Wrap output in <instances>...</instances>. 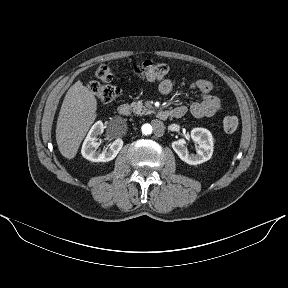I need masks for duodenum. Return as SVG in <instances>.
<instances>
[{
	"label": "duodenum",
	"mask_w": 288,
	"mask_h": 288,
	"mask_svg": "<svg viewBox=\"0 0 288 288\" xmlns=\"http://www.w3.org/2000/svg\"><path fill=\"white\" fill-rule=\"evenodd\" d=\"M118 113L122 116H128L131 113V108L128 104H121L118 107ZM157 117L161 120H166L170 117L173 118H179L182 115L181 111H177V110H160L157 112Z\"/></svg>",
	"instance_id": "410a0bca"
}]
</instances>
